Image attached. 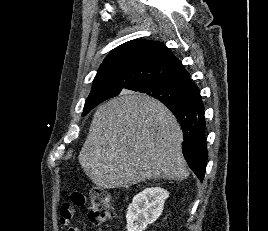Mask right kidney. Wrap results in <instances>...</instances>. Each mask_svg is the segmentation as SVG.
I'll return each mask as SVG.
<instances>
[{
  "instance_id": "right-kidney-1",
  "label": "right kidney",
  "mask_w": 268,
  "mask_h": 231,
  "mask_svg": "<svg viewBox=\"0 0 268 231\" xmlns=\"http://www.w3.org/2000/svg\"><path fill=\"white\" fill-rule=\"evenodd\" d=\"M168 197L169 192L160 187L146 188L134 196L127 210V231H144L155 222L162 214Z\"/></svg>"
}]
</instances>
